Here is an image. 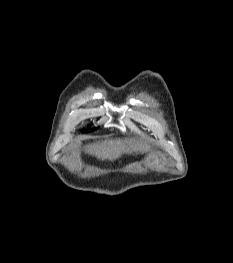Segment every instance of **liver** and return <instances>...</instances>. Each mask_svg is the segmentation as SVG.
Segmentation results:
<instances>
[{
  "label": "liver",
  "instance_id": "1",
  "mask_svg": "<svg viewBox=\"0 0 233 263\" xmlns=\"http://www.w3.org/2000/svg\"><path fill=\"white\" fill-rule=\"evenodd\" d=\"M150 146L139 139H128V140H105L102 142H96L89 144L86 147L88 153L97 156L99 159L115 160L120 157L122 153L132 152H146Z\"/></svg>",
  "mask_w": 233,
  "mask_h": 263
}]
</instances>
